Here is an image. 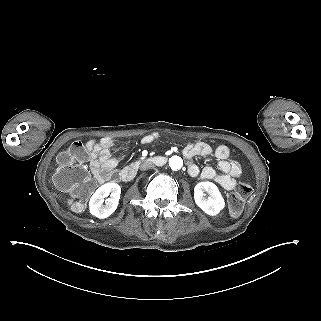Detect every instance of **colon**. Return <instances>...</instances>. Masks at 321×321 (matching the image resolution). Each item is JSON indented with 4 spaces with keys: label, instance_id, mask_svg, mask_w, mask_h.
I'll return each instance as SVG.
<instances>
[{
    "label": "colon",
    "instance_id": "5ec220e1",
    "mask_svg": "<svg viewBox=\"0 0 321 321\" xmlns=\"http://www.w3.org/2000/svg\"><path fill=\"white\" fill-rule=\"evenodd\" d=\"M88 159V151L82 142H74L57 158L58 168L54 176L55 184L71 193L70 208L81 212L91 194L94 184L83 163ZM252 187L248 183H240L229 197V209L233 216L241 214L246 199L251 195Z\"/></svg>",
    "mask_w": 321,
    "mask_h": 321
}]
</instances>
